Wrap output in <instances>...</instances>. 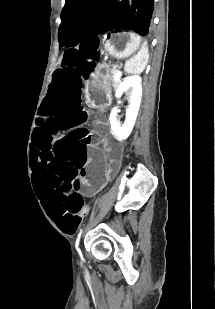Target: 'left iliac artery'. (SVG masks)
<instances>
[{
    "label": "left iliac artery",
    "instance_id": "left-iliac-artery-1",
    "mask_svg": "<svg viewBox=\"0 0 215 309\" xmlns=\"http://www.w3.org/2000/svg\"><path fill=\"white\" fill-rule=\"evenodd\" d=\"M81 234H82V229L80 230L78 236H77V239H76V243H75V247H76V250L78 253H80V248H79V241H80V238H81Z\"/></svg>",
    "mask_w": 215,
    "mask_h": 309
}]
</instances>
